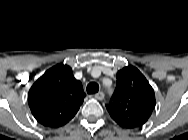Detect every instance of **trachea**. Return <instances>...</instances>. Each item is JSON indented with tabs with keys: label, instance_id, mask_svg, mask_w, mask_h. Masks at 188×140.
Masks as SVG:
<instances>
[{
	"label": "trachea",
	"instance_id": "trachea-1",
	"mask_svg": "<svg viewBox=\"0 0 188 140\" xmlns=\"http://www.w3.org/2000/svg\"><path fill=\"white\" fill-rule=\"evenodd\" d=\"M86 90H87V93H88V94H94V93H97V92H98L99 86H98L97 83L91 82V83H89V84L87 85Z\"/></svg>",
	"mask_w": 188,
	"mask_h": 140
}]
</instances>
